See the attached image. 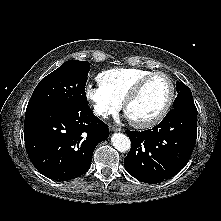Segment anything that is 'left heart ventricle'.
Returning <instances> with one entry per match:
<instances>
[{
	"mask_svg": "<svg viewBox=\"0 0 221 221\" xmlns=\"http://www.w3.org/2000/svg\"><path fill=\"white\" fill-rule=\"evenodd\" d=\"M170 92L168 81L163 76L149 80L142 92L127 109V116L135 121H144L157 115L166 103Z\"/></svg>",
	"mask_w": 221,
	"mask_h": 221,
	"instance_id": "b2bd125f",
	"label": "left heart ventricle"
}]
</instances>
